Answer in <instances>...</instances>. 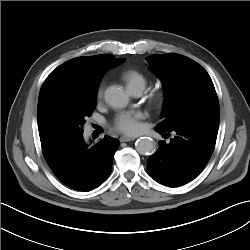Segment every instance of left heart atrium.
Here are the masks:
<instances>
[{"instance_id":"39dd6f15","label":"left heart atrium","mask_w":250,"mask_h":250,"mask_svg":"<svg viewBox=\"0 0 250 250\" xmlns=\"http://www.w3.org/2000/svg\"><path fill=\"white\" fill-rule=\"evenodd\" d=\"M143 117L141 112H122L116 116L114 127L126 135H136L141 131Z\"/></svg>"}]
</instances>
